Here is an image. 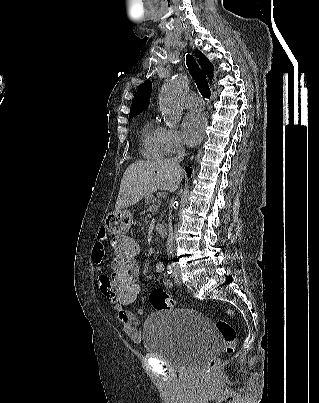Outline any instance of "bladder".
<instances>
[{"mask_svg":"<svg viewBox=\"0 0 319 403\" xmlns=\"http://www.w3.org/2000/svg\"><path fill=\"white\" fill-rule=\"evenodd\" d=\"M146 351L171 367L190 372L203 366L220 348L211 321L194 310H161L144 324Z\"/></svg>","mask_w":319,"mask_h":403,"instance_id":"31cf9c89","label":"bladder"}]
</instances>
